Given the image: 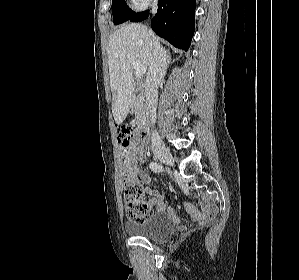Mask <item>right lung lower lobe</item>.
<instances>
[{"label":"right lung lower lobe","instance_id":"obj_1","mask_svg":"<svg viewBox=\"0 0 299 280\" xmlns=\"http://www.w3.org/2000/svg\"><path fill=\"white\" fill-rule=\"evenodd\" d=\"M149 16V10L138 12L128 20L140 22ZM195 25V0H159L158 12L151 27L157 35L175 47L188 50Z\"/></svg>","mask_w":299,"mask_h":280}]
</instances>
